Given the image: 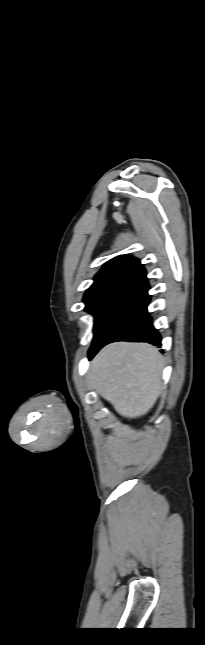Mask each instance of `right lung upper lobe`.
<instances>
[{"mask_svg": "<svg viewBox=\"0 0 205 645\" xmlns=\"http://www.w3.org/2000/svg\"><path fill=\"white\" fill-rule=\"evenodd\" d=\"M121 290L148 291L146 270L134 257L121 255L108 261L95 276L94 283L84 295L86 304Z\"/></svg>", "mask_w": 205, "mask_h": 645, "instance_id": "cb5924a9", "label": "right lung upper lobe"}]
</instances>
